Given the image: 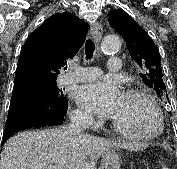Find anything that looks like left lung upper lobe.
Segmentation results:
<instances>
[{"label":"left lung upper lobe","mask_w":177,"mask_h":169,"mask_svg":"<svg viewBox=\"0 0 177 169\" xmlns=\"http://www.w3.org/2000/svg\"><path fill=\"white\" fill-rule=\"evenodd\" d=\"M108 16L110 25L123 37L131 58L139 65L143 82L156 92L161 101L169 102L158 47L127 13L111 11Z\"/></svg>","instance_id":"obj_1"}]
</instances>
